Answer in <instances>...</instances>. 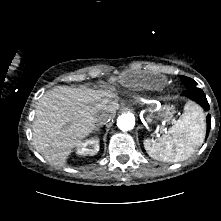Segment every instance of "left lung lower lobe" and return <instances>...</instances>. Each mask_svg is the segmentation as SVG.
<instances>
[{"mask_svg":"<svg viewBox=\"0 0 221 221\" xmlns=\"http://www.w3.org/2000/svg\"><path fill=\"white\" fill-rule=\"evenodd\" d=\"M182 95H185L189 97L190 99L196 101L200 106L203 107L205 111L209 110V104L206 99V96L203 92L202 89L198 87H192V88H187ZM207 132H206V138L208 137L210 128H211V116L207 115Z\"/></svg>","mask_w":221,"mask_h":221,"instance_id":"left-lung-lower-lobe-1","label":"left lung lower lobe"}]
</instances>
